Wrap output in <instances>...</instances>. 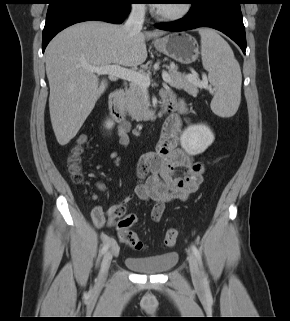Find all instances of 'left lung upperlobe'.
Here are the masks:
<instances>
[{
    "label": "left lung upper lobe",
    "instance_id": "5c2ea615",
    "mask_svg": "<svg viewBox=\"0 0 290 321\" xmlns=\"http://www.w3.org/2000/svg\"><path fill=\"white\" fill-rule=\"evenodd\" d=\"M188 1H189L190 4H195V3H197V2H199L201 0H188Z\"/></svg>",
    "mask_w": 290,
    "mask_h": 321
}]
</instances>
